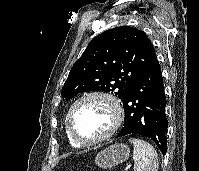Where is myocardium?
<instances>
[{"instance_id": "1", "label": "myocardium", "mask_w": 199, "mask_h": 171, "mask_svg": "<svg viewBox=\"0 0 199 171\" xmlns=\"http://www.w3.org/2000/svg\"><path fill=\"white\" fill-rule=\"evenodd\" d=\"M92 98L101 99L110 106L113 113V123L110 129L102 136L90 140H84L80 138L73 129L72 114L75 108L81 102ZM123 119H124V110L120 100L115 95L109 92L94 90L86 92L74 100V102L71 104L66 114L65 123L68 134L75 142H77L81 146H91L103 142L108 138H110L111 136H113L121 126Z\"/></svg>"}]
</instances>
